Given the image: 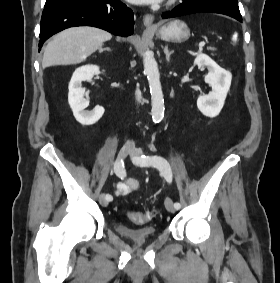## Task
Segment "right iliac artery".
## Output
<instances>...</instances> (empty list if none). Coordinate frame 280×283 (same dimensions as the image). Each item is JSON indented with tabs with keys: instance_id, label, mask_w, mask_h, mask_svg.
I'll return each mask as SVG.
<instances>
[{
	"instance_id": "82829eb1",
	"label": "right iliac artery",
	"mask_w": 280,
	"mask_h": 283,
	"mask_svg": "<svg viewBox=\"0 0 280 283\" xmlns=\"http://www.w3.org/2000/svg\"><path fill=\"white\" fill-rule=\"evenodd\" d=\"M114 172L121 179H124L126 177V169H125V166H124V162L122 160L121 161L117 160L114 163ZM106 199L108 201H112L113 197L110 194H107Z\"/></svg>"
}]
</instances>
